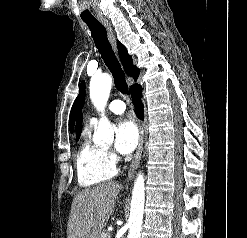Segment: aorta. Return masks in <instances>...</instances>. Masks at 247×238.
Here are the masks:
<instances>
[{"label":"aorta","mask_w":247,"mask_h":238,"mask_svg":"<svg viewBox=\"0 0 247 238\" xmlns=\"http://www.w3.org/2000/svg\"><path fill=\"white\" fill-rule=\"evenodd\" d=\"M112 78L108 74L94 76L90 82V98L98 111L103 112L107 104ZM114 132L108 119L102 114L98 127L94 132L95 144H111ZM145 203V184L143 174L139 173L132 191L130 217L128 221L129 234L127 238H140Z\"/></svg>","instance_id":"aorta-1"}]
</instances>
